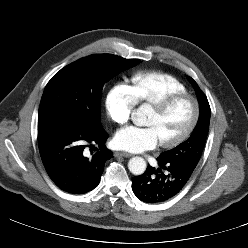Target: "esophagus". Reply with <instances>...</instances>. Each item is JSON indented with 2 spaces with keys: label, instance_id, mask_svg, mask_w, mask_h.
Returning a JSON list of instances; mask_svg holds the SVG:
<instances>
[{
  "label": "esophagus",
  "instance_id": "1",
  "mask_svg": "<svg viewBox=\"0 0 248 248\" xmlns=\"http://www.w3.org/2000/svg\"><path fill=\"white\" fill-rule=\"evenodd\" d=\"M114 156L115 157H131L132 154L127 153V152H115Z\"/></svg>",
  "mask_w": 248,
  "mask_h": 248
}]
</instances>
